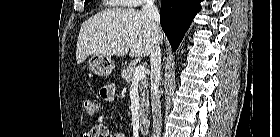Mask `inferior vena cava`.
<instances>
[{
	"label": "inferior vena cava",
	"mask_w": 280,
	"mask_h": 137,
	"mask_svg": "<svg viewBox=\"0 0 280 137\" xmlns=\"http://www.w3.org/2000/svg\"><path fill=\"white\" fill-rule=\"evenodd\" d=\"M142 13L148 17L152 31L156 36V40L150 55L151 65V106L153 118V133L152 137L161 136L162 116L160 102V70H161V49L159 36L160 29V14L158 8L154 5V0H147L142 8Z\"/></svg>",
	"instance_id": "602c4592"
}]
</instances>
